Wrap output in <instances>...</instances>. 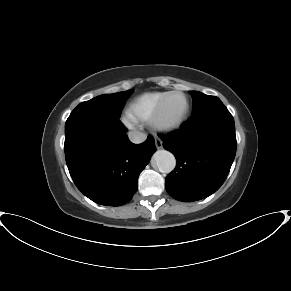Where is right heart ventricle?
I'll use <instances>...</instances> for the list:
<instances>
[{"mask_svg":"<svg viewBox=\"0 0 291 291\" xmlns=\"http://www.w3.org/2000/svg\"><path fill=\"white\" fill-rule=\"evenodd\" d=\"M169 92H149L134 97L127 103V115L134 121H149L159 102Z\"/></svg>","mask_w":291,"mask_h":291,"instance_id":"e07e8e85","label":"right heart ventricle"}]
</instances>
